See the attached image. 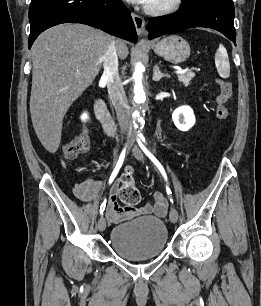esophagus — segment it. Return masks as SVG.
<instances>
[{
    "label": "esophagus",
    "instance_id": "obj_1",
    "mask_svg": "<svg viewBox=\"0 0 261 306\" xmlns=\"http://www.w3.org/2000/svg\"><path fill=\"white\" fill-rule=\"evenodd\" d=\"M132 18L138 35H141L144 31V26H145V21L143 17H141L136 13H132Z\"/></svg>",
    "mask_w": 261,
    "mask_h": 306
}]
</instances>
